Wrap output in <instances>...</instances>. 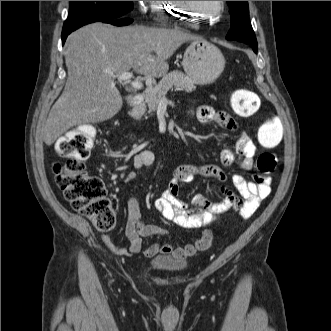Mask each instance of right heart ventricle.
<instances>
[{
  "label": "right heart ventricle",
  "instance_id": "right-heart-ventricle-1",
  "mask_svg": "<svg viewBox=\"0 0 331 331\" xmlns=\"http://www.w3.org/2000/svg\"><path fill=\"white\" fill-rule=\"evenodd\" d=\"M153 11L156 14V18L160 22H171L172 16L176 13L175 1H156L153 6Z\"/></svg>",
  "mask_w": 331,
  "mask_h": 331
}]
</instances>
